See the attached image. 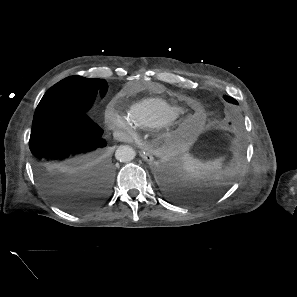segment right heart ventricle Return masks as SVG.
Segmentation results:
<instances>
[{
    "label": "right heart ventricle",
    "instance_id": "obj_1",
    "mask_svg": "<svg viewBox=\"0 0 297 297\" xmlns=\"http://www.w3.org/2000/svg\"><path fill=\"white\" fill-rule=\"evenodd\" d=\"M183 113L181 105L161 98H145L130 107L128 118L135 127L152 129L176 121Z\"/></svg>",
    "mask_w": 297,
    "mask_h": 297
}]
</instances>
